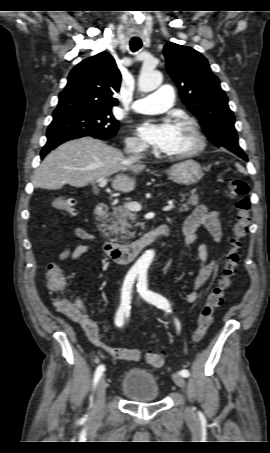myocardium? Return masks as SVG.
Returning a JSON list of instances; mask_svg holds the SVG:
<instances>
[{
  "label": "myocardium",
  "mask_w": 270,
  "mask_h": 453,
  "mask_svg": "<svg viewBox=\"0 0 270 453\" xmlns=\"http://www.w3.org/2000/svg\"><path fill=\"white\" fill-rule=\"evenodd\" d=\"M177 123L180 125L187 126L190 129L195 139V145L193 148L189 150L175 154L164 153L163 156L167 159L179 160L192 158L200 154L205 149L206 139L202 133L199 124L190 117H181L177 120Z\"/></svg>",
  "instance_id": "obj_1"
}]
</instances>
